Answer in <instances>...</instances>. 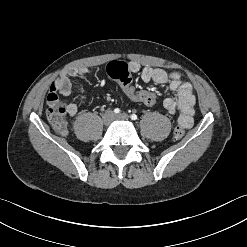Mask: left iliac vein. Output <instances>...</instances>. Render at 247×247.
Listing matches in <instances>:
<instances>
[{"label":"left iliac vein","mask_w":247,"mask_h":247,"mask_svg":"<svg viewBox=\"0 0 247 247\" xmlns=\"http://www.w3.org/2000/svg\"><path fill=\"white\" fill-rule=\"evenodd\" d=\"M116 119H118V120H128L129 117L126 114H120V115L116 116Z\"/></svg>","instance_id":"1"}]
</instances>
